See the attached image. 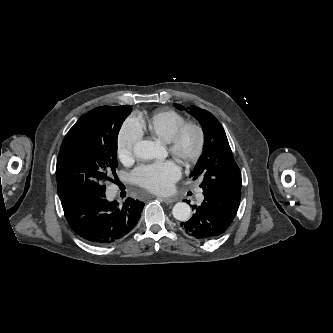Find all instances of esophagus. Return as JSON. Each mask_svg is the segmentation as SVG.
Masks as SVG:
<instances>
[{
  "label": "esophagus",
  "mask_w": 333,
  "mask_h": 333,
  "mask_svg": "<svg viewBox=\"0 0 333 333\" xmlns=\"http://www.w3.org/2000/svg\"><path fill=\"white\" fill-rule=\"evenodd\" d=\"M162 200L166 203V204H171L174 203L176 201V199L174 198H170V197H164L162 198Z\"/></svg>",
  "instance_id": "esophagus-1"
}]
</instances>
